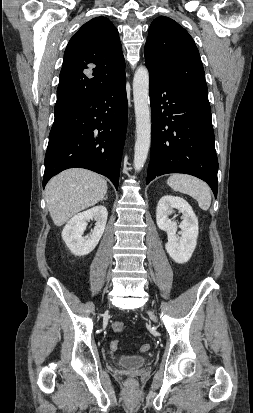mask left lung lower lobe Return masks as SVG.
Wrapping results in <instances>:
<instances>
[{"label": "left lung lower lobe", "instance_id": "1", "mask_svg": "<svg viewBox=\"0 0 253 413\" xmlns=\"http://www.w3.org/2000/svg\"><path fill=\"white\" fill-rule=\"evenodd\" d=\"M147 68L152 144L146 183L167 173L190 174L207 182L216 197L218 160L209 103Z\"/></svg>", "mask_w": 253, "mask_h": 413}]
</instances>
